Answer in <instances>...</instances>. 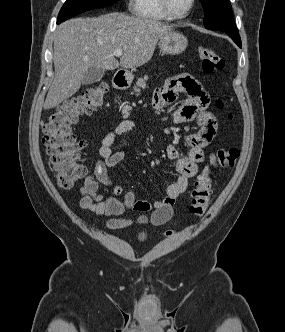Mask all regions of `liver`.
I'll return each mask as SVG.
<instances>
[{"label":"liver","mask_w":285,"mask_h":332,"mask_svg":"<svg viewBox=\"0 0 285 332\" xmlns=\"http://www.w3.org/2000/svg\"><path fill=\"white\" fill-rule=\"evenodd\" d=\"M171 31L172 26L157 20L117 12L60 24L54 37L55 77L44 109H52L78 92L90 67L115 70L144 65L158 40ZM117 49L123 51L120 62L114 55Z\"/></svg>","instance_id":"obj_1"}]
</instances>
